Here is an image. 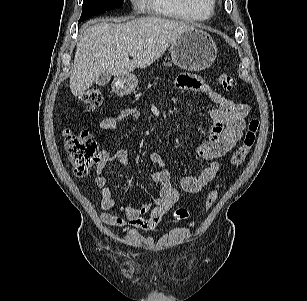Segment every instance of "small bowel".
Wrapping results in <instances>:
<instances>
[{"mask_svg": "<svg viewBox=\"0 0 307 301\" xmlns=\"http://www.w3.org/2000/svg\"><path fill=\"white\" fill-rule=\"evenodd\" d=\"M176 85L181 90L192 91L208 98L214 103L209 111L212 122L209 139L198 146L197 154L207 162V166L198 177L185 176L181 180V188L187 193H198L210 183L219 171L218 158L227 154L242 136L245 118L250 108L247 104L236 103L217 93L197 76L183 74L177 78ZM139 109L127 107L117 115L104 118L99 125L101 137L117 130L119 124L128 118L138 119ZM101 160L97 165L95 184L100 192V204L103 208L101 220L111 226L131 227L150 231L158 226L163 216L177 203L179 191L173 186L171 174L163 168V162L158 153L153 152L150 160L159 167L152 173V181L160 187L159 195L152 201L139 207L118 206L113 198L111 188L107 185L106 169L111 164H128V153L124 149L114 152L103 150Z\"/></svg>", "mask_w": 307, "mask_h": 301, "instance_id": "small-bowel-1", "label": "small bowel"}]
</instances>
